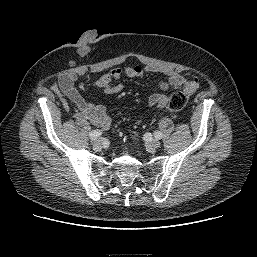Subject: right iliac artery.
<instances>
[{
    "mask_svg": "<svg viewBox=\"0 0 257 257\" xmlns=\"http://www.w3.org/2000/svg\"><path fill=\"white\" fill-rule=\"evenodd\" d=\"M101 134H102V132H101L100 130L96 129V130H92V131L89 133V137H90L91 139H96V138H98Z\"/></svg>",
    "mask_w": 257,
    "mask_h": 257,
    "instance_id": "obj_1",
    "label": "right iliac artery"
}]
</instances>
